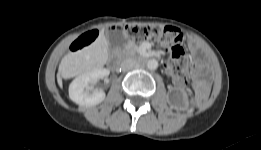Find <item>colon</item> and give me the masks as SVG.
<instances>
[{
	"label": "colon",
	"instance_id": "1",
	"mask_svg": "<svg viewBox=\"0 0 261 150\" xmlns=\"http://www.w3.org/2000/svg\"><path fill=\"white\" fill-rule=\"evenodd\" d=\"M126 33L135 41L152 40L168 48L170 59L166 63V70L178 84L187 82L188 57L186 55L183 33L176 27H150L129 24L124 26ZM99 36L98 30H90L81 35L72 44V50H80L93 43Z\"/></svg>",
	"mask_w": 261,
	"mask_h": 150
}]
</instances>
